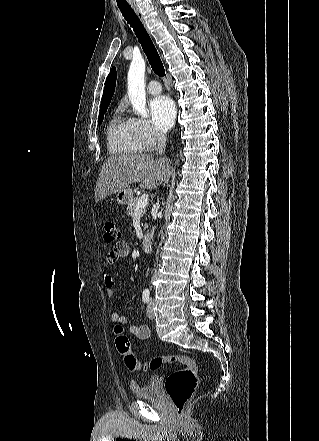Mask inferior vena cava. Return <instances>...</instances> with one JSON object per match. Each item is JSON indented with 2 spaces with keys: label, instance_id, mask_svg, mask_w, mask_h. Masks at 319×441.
<instances>
[{
  "label": "inferior vena cava",
  "instance_id": "1",
  "mask_svg": "<svg viewBox=\"0 0 319 441\" xmlns=\"http://www.w3.org/2000/svg\"><path fill=\"white\" fill-rule=\"evenodd\" d=\"M157 139H158L157 153L161 155L164 153L166 148V135L163 133H158ZM165 182L167 183L168 179H166Z\"/></svg>",
  "mask_w": 319,
  "mask_h": 441
}]
</instances>
